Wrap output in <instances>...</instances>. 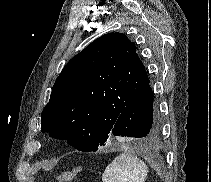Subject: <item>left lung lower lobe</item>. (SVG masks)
<instances>
[{"label":"left lung lower lobe","instance_id":"obj_1","mask_svg":"<svg viewBox=\"0 0 211 182\" xmlns=\"http://www.w3.org/2000/svg\"><path fill=\"white\" fill-rule=\"evenodd\" d=\"M161 128V119L154 104L150 81L123 108L119 114L111 135L138 138L146 142L154 139Z\"/></svg>","mask_w":211,"mask_h":182}]
</instances>
